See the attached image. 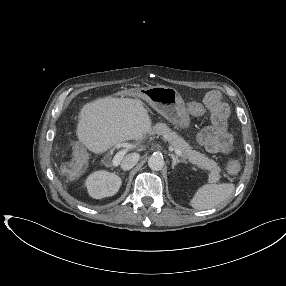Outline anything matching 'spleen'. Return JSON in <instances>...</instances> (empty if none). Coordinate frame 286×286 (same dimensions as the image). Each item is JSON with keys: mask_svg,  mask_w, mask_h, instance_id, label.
I'll return each instance as SVG.
<instances>
[{"mask_svg": "<svg viewBox=\"0 0 286 286\" xmlns=\"http://www.w3.org/2000/svg\"><path fill=\"white\" fill-rule=\"evenodd\" d=\"M234 190L232 183L205 184L196 191L190 205L198 210L214 208L227 200Z\"/></svg>", "mask_w": 286, "mask_h": 286, "instance_id": "spleen-1", "label": "spleen"}]
</instances>
